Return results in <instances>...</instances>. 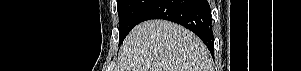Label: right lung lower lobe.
Here are the masks:
<instances>
[{
    "label": "right lung lower lobe",
    "mask_w": 301,
    "mask_h": 71,
    "mask_svg": "<svg viewBox=\"0 0 301 71\" xmlns=\"http://www.w3.org/2000/svg\"><path fill=\"white\" fill-rule=\"evenodd\" d=\"M150 19L169 20L184 26L194 32L213 55L212 18L207 0H155L140 22Z\"/></svg>",
    "instance_id": "right-lung-lower-lobe-1"
}]
</instances>
